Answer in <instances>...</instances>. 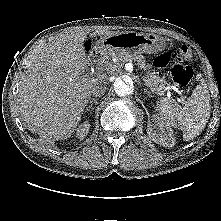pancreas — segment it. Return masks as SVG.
Here are the masks:
<instances>
[{
  "label": "pancreas",
  "mask_w": 221,
  "mask_h": 221,
  "mask_svg": "<svg viewBox=\"0 0 221 221\" xmlns=\"http://www.w3.org/2000/svg\"><path fill=\"white\" fill-rule=\"evenodd\" d=\"M112 58H116L118 63H126V62H136L138 67L142 70H147L146 74L143 76V81L146 86L149 87L156 94L162 95L163 89L165 88V80L156 75L155 72H151L149 69L151 66L146 63L144 56L142 55H132L129 53H116L111 56Z\"/></svg>",
  "instance_id": "cf45deb5"
}]
</instances>
